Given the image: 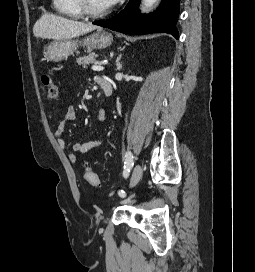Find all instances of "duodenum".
Instances as JSON below:
<instances>
[{
	"label": "duodenum",
	"mask_w": 255,
	"mask_h": 272,
	"mask_svg": "<svg viewBox=\"0 0 255 272\" xmlns=\"http://www.w3.org/2000/svg\"><path fill=\"white\" fill-rule=\"evenodd\" d=\"M99 87L102 89L105 96H110L112 94V86L107 78L99 77L97 80Z\"/></svg>",
	"instance_id": "obj_1"
}]
</instances>
